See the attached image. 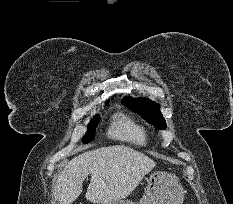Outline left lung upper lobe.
Listing matches in <instances>:
<instances>
[{
    "mask_svg": "<svg viewBox=\"0 0 233 204\" xmlns=\"http://www.w3.org/2000/svg\"><path fill=\"white\" fill-rule=\"evenodd\" d=\"M122 104L127 106L132 111L141 114L146 121L154 124L157 128H166V123L159 111L160 106L158 104L150 102L147 99H134L127 96H124L122 99Z\"/></svg>",
    "mask_w": 233,
    "mask_h": 204,
    "instance_id": "5c2ea615",
    "label": "left lung upper lobe"
}]
</instances>
